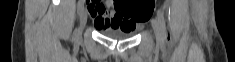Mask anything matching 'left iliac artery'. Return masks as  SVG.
Wrapping results in <instances>:
<instances>
[{"label":"left iliac artery","instance_id":"left-iliac-artery-1","mask_svg":"<svg viewBox=\"0 0 235 62\" xmlns=\"http://www.w3.org/2000/svg\"><path fill=\"white\" fill-rule=\"evenodd\" d=\"M157 20H158V24L161 30L163 40H165L166 39L165 19H164L163 13L160 10L157 11Z\"/></svg>","mask_w":235,"mask_h":62}]
</instances>
